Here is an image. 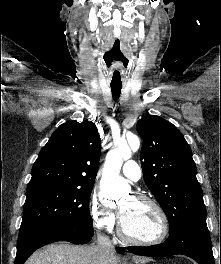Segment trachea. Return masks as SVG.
Here are the masks:
<instances>
[{"instance_id":"obj_1","label":"trachea","mask_w":221,"mask_h":264,"mask_svg":"<svg viewBox=\"0 0 221 264\" xmlns=\"http://www.w3.org/2000/svg\"><path fill=\"white\" fill-rule=\"evenodd\" d=\"M122 85H111V91L113 99L116 101L119 99L121 94Z\"/></svg>"}]
</instances>
